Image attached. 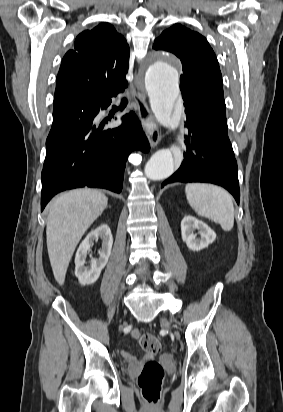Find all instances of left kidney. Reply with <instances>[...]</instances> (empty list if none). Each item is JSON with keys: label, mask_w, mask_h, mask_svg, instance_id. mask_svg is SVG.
I'll return each instance as SVG.
<instances>
[{"label": "left kidney", "mask_w": 283, "mask_h": 412, "mask_svg": "<svg viewBox=\"0 0 283 412\" xmlns=\"http://www.w3.org/2000/svg\"><path fill=\"white\" fill-rule=\"evenodd\" d=\"M199 231L200 238L193 232ZM181 236L187 247L193 251H200L216 239V233L204 222L188 215L181 221Z\"/></svg>", "instance_id": "5707ae66"}]
</instances>
